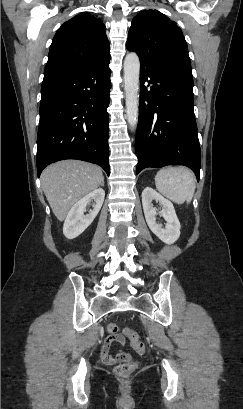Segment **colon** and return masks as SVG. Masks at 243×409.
Here are the masks:
<instances>
[{
  "mask_svg": "<svg viewBox=\"0 0 243 409\" xmlns=\"http://www.w3.org/2000/svg\"><path fill=\"white\" fill-rule=\"evenodd\" d=\"M107 330L115 334L118 331V326L114 323H110L107 326ZM123 338L128 339L131 347L138 353H142L145 350L144 344L141 342L139 335L136 332H133L129 329L123 330ZM136 364L130 360H125L121 364L117 365L114 369V372L117 376L126 378L128 377L133 370L135 369Z\"/></svg>",
  "mask_w": 243,
  "mask_h": 409,
  "instance_id": "5ec220e1",
  "label": "colon"
}]
</instances>
